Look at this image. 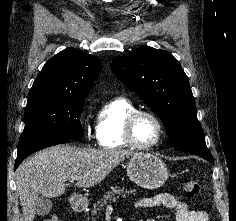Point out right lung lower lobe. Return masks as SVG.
<instances>
[{
  "label": "right lung lower lobe",
  "instance_id": "obj_1",
  "mask_svg": "<svg viewBox=\"0 0 236 221\" xmlns=\"http://www.w3.org/2000/svg\"><path fill=\"white\" fill-rule=\"evenodd\" d=\"M68 142H69L68 139H47V140H38V141L29 142L18 147L19 149H18L16 161H15L14 170H16L19 164L32 153L39 151L43 148L49 147V146L62 144V143H68Z\"/></svg>",
  "mask_w": 236,
  "mask_h": 221
}]
</instances>
